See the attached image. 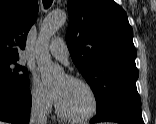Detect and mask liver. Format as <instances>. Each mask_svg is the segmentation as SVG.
I'll use <instances>...</instances> for the list:
<instances>
[{"label": "liver", "instance_id": "6515ba94", "mask_svg": "<svg viewBox=\"0 0 156 124\" xmlns=\"http://www.w3.org/2000/svg\"><path fill=\"white\" fill-rule=\"evenodd\" d=\"M0 124H5V123H3V122H0Z\"/></svg>", "mask_w": 156, "mask_h": 124}]
</instances>
